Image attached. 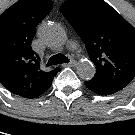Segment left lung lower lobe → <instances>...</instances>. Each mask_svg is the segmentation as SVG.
<instances>
[{"instance_id":"1","label":"left lung lower lobe","mask_w":135,"mask_h":135,"mask_svg":"<svg viewBox=\"0 0 135 135\" xmlns=\"http://www.w3.org/2000/svg\"><path fill=\"white\" fill-rule=\"evenodd\" d=\"M84 84L89 90L93 91L94 93H96L98 95H102V96L103 95H111V94L118 92V90L100 85V84H98L94 81H91V80L85 81Z\"/></svg>"}]
</instances>
